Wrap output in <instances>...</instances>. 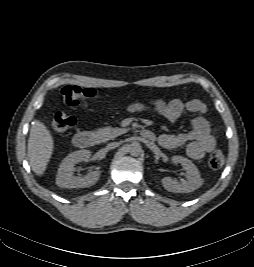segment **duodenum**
I'll use <instances>...</instances> for the list:
<instances>
[{"label":"duodenum","instance_id":"410a0bca","mask_svg":"<svg viewBox=\"0 0 254 267\" xmlns=\"http://www.w3.org/2000/svg\"><path fill=\"white\" fill-rule=\"evenodd\" d=\"M141 136L149 141L155 139V135L150 130L146 129L141 131ZM73 141L79 148H90L96 144L97 138L95 134L90 131H80L74 135Z\"/></svg>","mask_w":254,"mask_h":267}]
</instances>
